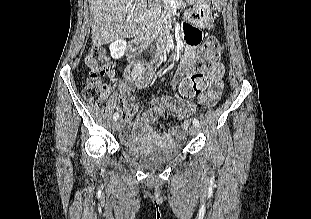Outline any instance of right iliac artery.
I'll return each instance as SVG.
<instances>
[{
	"label": "right iliac artery",
	"instance_id": "1",
	"mask_svg": "<svg viewBox=\"0 0 311 219\" xmlns=\"http://www.w3.org/2000/svg\"><path fill=\"white\" fill-rule=\"evenodd\" d=\"M119 118V114L118 113H115L114 115H113V120H117Z\"/></svg>",
	"mask_w": 311,
	"mask_h": 219
}]
</instances>
